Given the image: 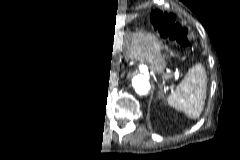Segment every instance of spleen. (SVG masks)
<instances>
[{"label":"spleen","mask_w":240,"mask_h":160,"mask_svg":"<svg viewBox=\"0 0 240 160\" xmlns=\"http://www.w3.org/2000/svg\"><path fill=\"white\" fill-rule=\"evenodd\" d=\"M205 97V70L195 66L189 70L176 90L168 97V103L190 117H197L203 110Z\"/></svg>","instance_id":"3e777b00"}]
</instances>
